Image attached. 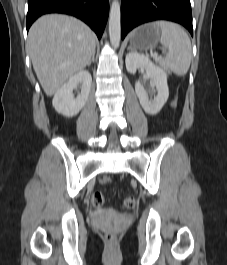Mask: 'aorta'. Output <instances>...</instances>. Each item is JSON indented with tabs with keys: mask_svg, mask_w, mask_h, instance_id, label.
<instances>
[{
	"mask_svg": "<svg viewBox=\"0 0 227 265\" xmlns=\"http://www.w3.org/2000/svg\"><path fill=\"white\" fill-rule=\"evenodd\" d=\"M109 37L111 45L118 48L121 37V12L118 0L112 2L109 14Z\"/></svg>",
	"mask_w": 227,
	"mask_h": 265,
	"instance_id": "aorta-1",
	"label": "aorta"
}]
</instances>
